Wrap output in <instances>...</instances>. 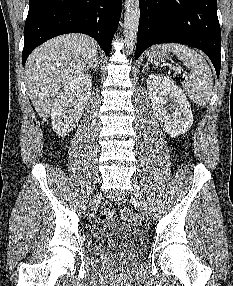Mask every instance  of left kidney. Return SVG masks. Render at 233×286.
<instances>
[{
	"label": "left kidney",
	"mask_w": 233,
	"mask_h": 286,
	"mask_svg": "<svg viewBox=\"0 0 233 286\" xmlns=\"http://www.w3.org/2000/svg\"><path fill=\"white\" fill-rule=\"evenodd\" d=\"M152 108L163 130L171 137L184 134L193 124V115L183 90L166 76L152 74L147 80ZM168 96L174 102L171 114L166 110Z\"/></svg>",
	"instance_id": "obj_1"
}]
</instances>
